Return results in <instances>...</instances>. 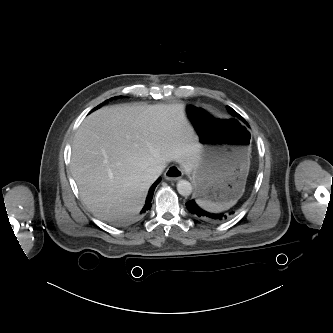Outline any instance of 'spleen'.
I'll return each mask as SVG.
<instances>
[{
  "mask_svg": "<svg viewBox=\"0 0 333 333\" xmlns=\"http://www.w3.org/2000/svg\"><path fill=\"white\" fill-rule=\"evenodd\" d=\"M197 204L202 207L204 210H207L209 212H221L224 210L229 209L233 205H221V204H216L213 202H210L208 200H202V199H197L196 200Z\"/></svg>",
  "mask_w": 333,
  "mask_h": 333,
  "instance_id": "1",
  "label": "spleen"
}]
</instances>
